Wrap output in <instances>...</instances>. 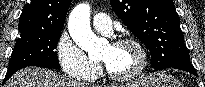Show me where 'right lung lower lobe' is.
I'll return each mask as SVG.
<instances>
[{
	"label": "right lung lower lobe",
	"mask_w": 205,
	"mask_h": 87,
	"mask_svg": "<svg viewBox=\"0 0 205 87\" xmlns=\"http://www.w3.org/2000/svg\"><path fill=\"white\" fill-rule=\"evenodd\" d=\"M26 66H16V67H12V68H9L7 73H6V76H5V79L3 81V84L19 69L21 68H24Z\"/></svg>",
	"instance_id": "1"
}]
</instances>
